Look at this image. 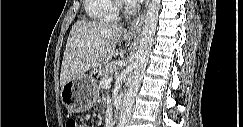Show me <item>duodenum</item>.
Wrapping results in <instances>:
<instances>
[{
	"instance_id": "obj_1",
	"label": "duodenum",
	"mask_w": 243,
	"mask_h": 127,
	"mask_svg": "<svg viewBox=\"0 0 243 127\" xmlns=\"http://www.w3.org/2000/svg\"><path fill=\"white\" fill-rule=\"evenodd\" d=\"M119 111H120V106L117 107V112L115 115H118L119 114Z\"/></svg>"
}]
</instances>
